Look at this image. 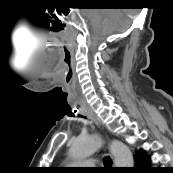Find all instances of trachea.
<instances>
[{
  "instance_id": "1",
  "label": "trachea",
  "mask_w": 173,
  "mask_h": 173,
  "mask_svg": "<svg viewBox=\"0 0 173 173\" xmlns=\"http://www.w3.org/2000/svg\"><path fill=\"white\" fill-rule=\"evenodd\" d=\"M112 160L109 157L104 159V166L105 168H111Z\"/></svg>"
}]
</instances>
